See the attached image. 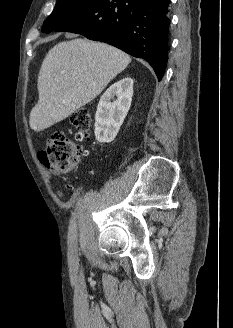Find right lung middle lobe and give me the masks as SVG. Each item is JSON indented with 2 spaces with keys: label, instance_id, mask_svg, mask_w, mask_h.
Here are the masks:
<instances>
[{
  "label": "right lung middle lobe",
  "instance_id": "dd1d6c3e",
  "mask_svg": "<svg viewBox=\"0 0 233 328\" xmlns=\"http://www.w3.org/2000/svg\"><path fill=\"white\" fill-rule=\"evenodd\" d=\"M94 1L96 0H58L53 12L44 22L42 31L49 32V27L57 20L87 7Z\"/></svg>",
  "mask_w": 233,
  "mask_h": 328
}]
</instances>
